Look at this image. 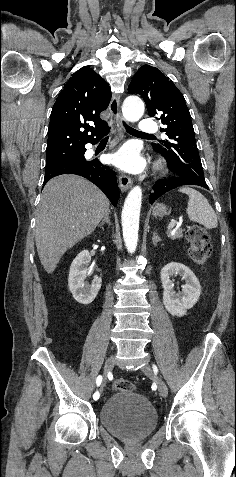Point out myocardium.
<instances>
[{
	"instance_id": "f54148a6",
	"label": "myocardium",
	"mask_w": 236,
	"mask_h": 477,
	"mask_svg": "<svg viewBox=\"0 0 236 477\" xmlns=\"http://www.w3.org/2000/svg\"><path fill=\"white\" fill-rule=\"evenodd\" d=\"M161 167H162V163L159 162V163L157 164V168L159 169V168H161Z\"/></svg>"
}]
</instances>
